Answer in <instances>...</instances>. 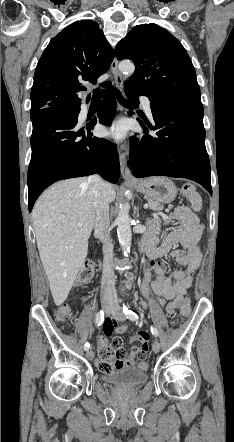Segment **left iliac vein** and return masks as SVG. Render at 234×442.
<instances>
[{
	"label": "left iliac vein",
	"mask_w": 234,
	"mask_h": 442,
	"mask_svg": "<svg viewBox=\"0 0 234 442\" xmlns=\"http://www.w3.org/2000/svg\"><path fill=\"white\" fill-rule=\"evenodd\" d=\"M111 313L116 320L123 321L125 319V315L123 314L120 306L118 305L116 298L113 300L111 304ZM152 350L154 353H158L160 351V343L157 340L153 342Z\"/></svg>",
	"instance_id": "obj_1"
}]
</instances>
